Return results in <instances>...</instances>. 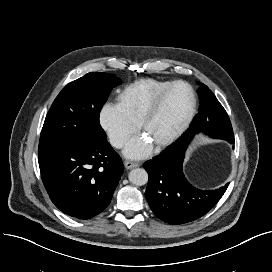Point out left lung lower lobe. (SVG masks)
<instances>
[{
  "instance_id": "obj_1",
  "label": "left lung lower lobe",
  "mask_w": 272,
  "mask_h": 272,
  "mask_svg": "<svg viewBox=\"0 0 272 272\" xmlns=\"http://www.w3.org/2000/svg\"><path fill=\"white\" fill-rule=\"evenodd\" d=\"M198 128V125L191 124L175 143L144 163L149 175L145 192L147 201L155 215L169 224L179 225L202 217L217 204L229 185L200 190L186 180L182 171L184 154L194 134L201 132ZM213 138L234 142L233 134Z\"/></svg>"
}]
</instances>
